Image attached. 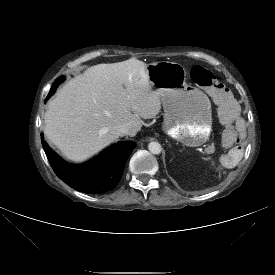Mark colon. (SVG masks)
Listing matches in <instances>:
<instances>
[{"label":"colon","instance_id":"1","mask_svg":"<svg viewBox=\"0 0 275 275\" xmlns=\"http://www.w3.org/2000/svg\"><path fill=\"white\" fill-rule=\"evenodd\" d=\"M191 78L194 83L204 88L210 94L218 106L227 101L228 91L213 72L196 65L191 69Z\"/></svg>","mask_w":275,"mask_h":275}]
</instances>
